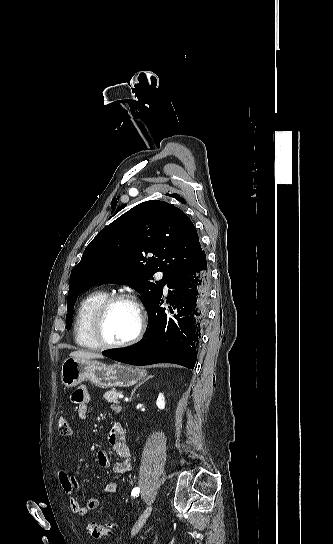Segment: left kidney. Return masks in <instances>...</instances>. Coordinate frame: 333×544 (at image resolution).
Instances as JSON below:
<instances>
[{
    "instance_id": "5707ae66",
    "label": "left kidney",
    "mask_w": 333,
    "mask_h": 544,
    "mask_svg": "<svg viewBox=\"0 0 333 544\" xmlns=\"http://www.w3.org/2000/svg\"><path fill=\"white\" fill-rule=\"evenodd\" d=\"M156 405L159 409L163 410L165 408V397L162 393L159 394Z\"/></svg>"
}]
</instances>
